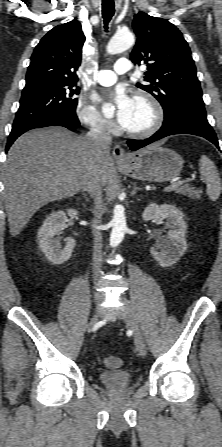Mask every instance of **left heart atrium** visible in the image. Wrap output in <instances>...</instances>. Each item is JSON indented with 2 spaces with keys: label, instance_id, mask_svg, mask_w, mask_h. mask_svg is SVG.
<instances>
[{
  "label": "left heart atrium",
  "instance_id": "1",
  "mask_svg": "<svg viewBox=\"0 0 222 447\" xmlns=\"http://www.w3.org/2000/svg\"><path fill=\"white\" fill-rule=\"evenodd\" d=\"M112 102L115 107L117 121L126 128L133 112L134 99L126 94L124 90L118 89L112 96Z\"/></svg>",
  "mask_w": 222,
  "mask_h": 447
}]
</instances>
